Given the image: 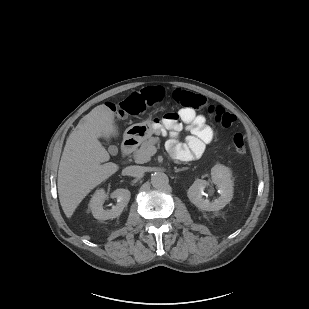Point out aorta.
<instances>
[{"mask_svg": "<svg viewBox=\"0 0 309 309\" xmlns=\"http://www.w3.org/2000/svg\"><path fill=\"white\" fill-rule=\"evenodd\" d=\"M151 183H152L153 187H155L157 189H163L168 185L169 179H168V176L165 173L156 172L151 177Z\"/></svg>", "mask_w": 309, "mask_h": 309, "instance_id": "1", "label": "aorta"}]
</instances>
